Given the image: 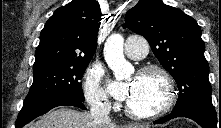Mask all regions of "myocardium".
Wrapping results in <instances>:
<instances>
[{"mask_svg": "<svg viewBox=\"0 0 221 128\" xmlns=\"http://www.w3.org/2000/svg\"><path fill=\"white\" fill-rule=\"evenodd\" d=\"M147 74H155L160 77L164 86V94L162 100L156 102L153 109L135 111L126 103L125 112L131 118L138 120L157 118L165 114L173 105L176 94L174 81L166 69L158 65H147L139 70L138 77H143Z\"/></svg>", "mask_w": 221, "mask_h": 128, "instance_id": "1", "label": "myocardium"}]
</instances>
